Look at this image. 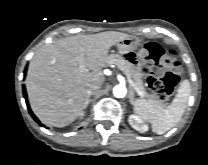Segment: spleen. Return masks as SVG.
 Here are the masks:
<instances>
[{"label": "spleen", "mask_w": 208, "mask_h": 165, "mask_svg": "<svg viewBox=\"0 0 208 165\" xmlns=\"http://www.w3.org/2000/svg\"><path fill=\"white\" fill-rule=\"evenodd\" d=\"M191 86L188 80L181 82L175 98L167 107L150 100L137 99L134 112L144 121L151 123L153 132L164 134L182 118L189 101Z\"/></svg>", "instance_id": "spleen-1"}]
</instances>
